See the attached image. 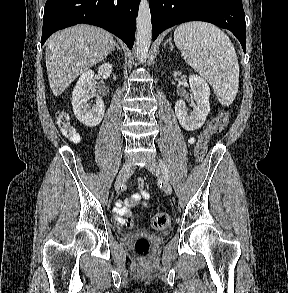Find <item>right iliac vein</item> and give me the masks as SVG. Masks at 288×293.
I'll return each instance as SVG.
<instances>
[{
    "mask_svg": "<svg viewBox=\"0 0 288 293\" xmlns=\"http://www.w3.org/2000/svg\"><path fill=\"white\" fill-rule=\"evenodd\" d=\"M133 167L132 164H123L117 178L115 181V190L119 191L120 187L127 181L132 173Z\"/></svg>",
    "mask_w": 288,
    "mask_h": 293,
    "instance_id": "right-iliac-vein-1",
    "label": "right iliac vein"
}]
</instances>
